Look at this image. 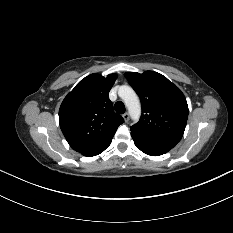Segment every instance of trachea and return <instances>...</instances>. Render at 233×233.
<instances>
[{"label": "trachea", "mask_w": 233, "mask_h": 233, "mask_svg": "<svg viewBox=\"0 0 233 233\" xmlns=\"http://www.w3.org/2000/svg\"><path fill=\"white\" fill-rule=\"evenodd\" d=\"M115 111L119 114H124L125 113V106L123 102L117 101L114 105Z\"/></svg>", "instance_id": "obj_1"}]
</instances>
